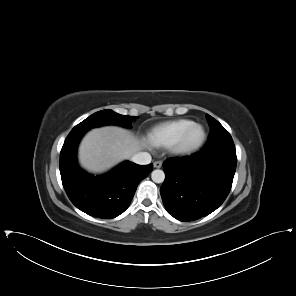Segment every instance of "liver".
I'll use <instances>...</instances> for the list:
<instances>
[{
  "instance_id": "obj_1",
  "label": "liver",
  "mask_w": 296,
  "mask_h": 296,
  "mask_svg": "<svg viewBox=\"0 0 296 296\" xmlns=\"http://www.w3.org/2000/svg\"><path fill=\"white\" fill-rule=\"evenodd\" d=\"M143 149L142 142L130 131L105 126L89 131L79 146V162L87 171L102 173Z\"/></svg>"
}]
</instances>
